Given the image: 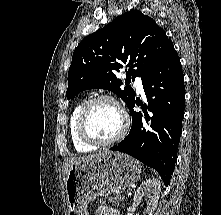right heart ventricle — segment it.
Instances as JSON below:
<instances>
[{"label": "right heart ventricle", "instance_id": "obj_1", "mask_svg": "<svg viewBox=\"0 0 221 215\" xmlns=\"http://www.w3.org/2000/svg\"><path fill=\"white\" fill-rule=\"evenodd\" d=\"M85 103V100H81L76 103L74 106L70 118H69V134L72 141V144L76 151L81 153H86L92 151L95 146H91L83 142L77 132V117L82 105Z\"/></svg>", "mask_w": 221, "mask_h": 215}]
</instances>
